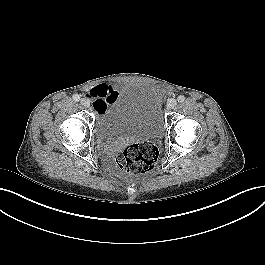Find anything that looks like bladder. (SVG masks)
<instances>
[{
  "label": "bladder",
  "mask_w": 265,
  "mask_h": 265,
  "mask_svg": "<svg viewBox=\"0 0 265 265\" xmlns=\"http://www.w3.org/2000/svg\"><path fill=\"white\" fill-rule=\"evenodd\" d=\"M165 124L160 94L154 84L133 82L100 113L96 134L103 142L124 137L157 138Z\"/></svg>",
  "instance_id": "31cf9c89"
}]
</instances>
